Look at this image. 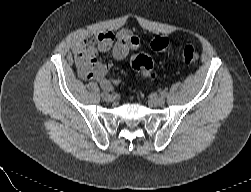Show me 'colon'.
I'll list each match as a JSON object with an SVG mask.
<instances>
[{"mask_svg": "<svg viewBox=\"0 0 251 192\" xmlns=\"http://www.w3.org/2000/svg\"><path fill=\"white\" fill-rule=\"evenodd\" d=\"M151 48L156 52L167 51L171 48L166 37L157 36L151 42ZM182 60L185 64H193L199 60V52L191 45L179 47ZM131 66L143 77H154L153 61L146 54L135 55L131 59Z\"/></svg>", "mask_w": 251, "mask_h": 192, "instance_id": "1", "label": "colon"}]
</instances>
